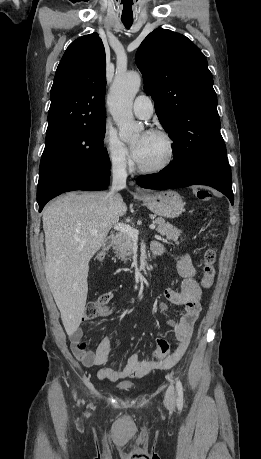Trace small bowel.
Segmentation results:
<instances>
[{
  "mask_svg": "<svg viewBox=\"0 0 261 459\" xmlns=\"http://www.w3.org/2000/svg\"><path fill=\"white\" fill-rule=\"evenodd\" d=\"M162 251L166 249L161 244ZM105 259V253L97 255L98 261ZM179 274L183 277L180 289L167 288L164 291V300L160 303L162 312L168 314L169 304L183 308V314L178 321L168 319L171 327V338H158L156 340V351L148 359H140L138 354H133L123 367L104 366L109 361L111 352V341L109 337H103L95 350L87 348L83 341V329L79 325L67 329L71 342V349L74 356L85 366H104L98 371V378L101 380L117 381L127 377H142L153 369H169L176 365L187 352L194 325L199 317L201 306V288L196 280V270L192 265L191 258L187 254L176 256ZM112 298V294H111ZM112 308L108 305L103 307L99 317L111 315ZM178 343L177 347L170 351L172 341Z\"/></svg>",
  "mask_w": 261,
  "mask_h": 459,
  "instance_id": "1",
  "label": "small bowel"
}]
</instances>
